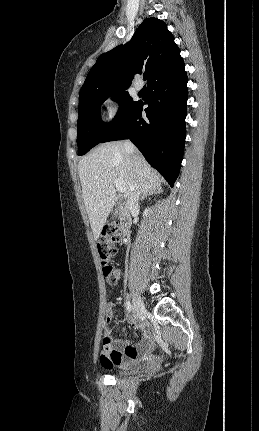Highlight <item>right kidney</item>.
<instances>
[{
  "label": "right kidney",
  "mask_w": 259,
  "mask_h": 431,
  "mask_svg": "<svg viewBox=\"0 0 259 431\" xmlns=\"http://www.w3.org/2000/svg\"><path fill=\"white\" fill-rule=\"evenodd\" d=\"M148 212H149V208H146L143 212V217L147 216Z\"/></svg>",
  "instance_id": "obj_1"
}]
</instances>
